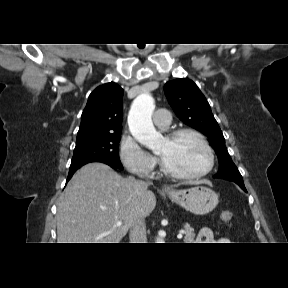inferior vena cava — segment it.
Listing matches in <instances>:
<instances>
[{
	"label": "inferior vena cava",
	"instance_id": "inferior-vena-cava-1",
	"mask_svg": "<svg viewBox=\"0 0 288 288\" xmlns=\"http://www.w3.org/2000/svg\"><path fill=\"white\" fill-rule=\"evenodd\" d=\"M130 243H146V223L145 219H139L130 230Z\"/></svg>",
	"mask_w": 288,
	"mask_h": 288
}]
</instances>
